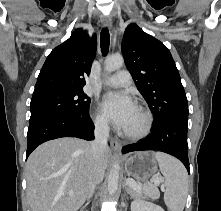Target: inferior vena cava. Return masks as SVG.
Here are the masks:
<instances>
[{"label": "inferior vena cava", "instance_id": "obj_1", "mask_svg": "<svg viewBox=\"0 0 221 211\" xmlns=\"http://www.w3.org/2000/svg\"><path fill=\"white\" fill-rule=\"evenodd\" d=\"M109 125L105 120H99L95 123V139L91 142L92 153L94 156V168L92 186L88 195L91 198L95 188L100 184L104 177L105 169L101 163V157L107 149V140L109 138Z\"/></svg>", "mask_w": 221, "mask_h": 211}]
</instances>
